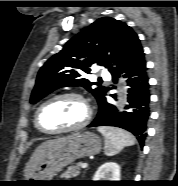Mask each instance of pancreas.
<instances>
[{"label":"pancreas","mask_w":178,"mask_h":186,"mask_svg":"<svg viewBox=\"0 0 178 186\" xmlns=\"http://www.w3.org/2000/svg\"><path fill=\"white\" fill-rule=\"evenodd\" d=\"M82 162H78L76 165H71L67 168V170L61 174V178L69 179L76 177L80 174V167Z\"/></svg>","instance_id":"cf45deb5"}]
</instances>
